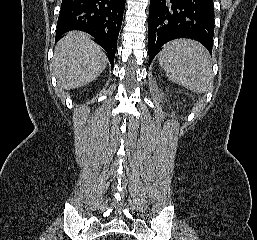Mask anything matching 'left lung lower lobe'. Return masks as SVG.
<instances>
[{
  "label": "left lung lower lobe",
  "instance_id": "obj_1",
  "mask_svg": "<svg viewBox=\"0 0 257 240\" xmlns=\"http://www.w3.org/2000/svg\"><path fill=\"white\" fill-rule=\"evenodd\" d=\"M214 36L213 0H150L149 65L167 42L187 37L211 53Z\"/></svg>",
  "mask_w": 257,
  "mask_h": 240
}]
</instances>
